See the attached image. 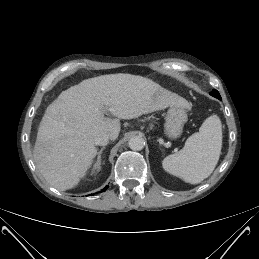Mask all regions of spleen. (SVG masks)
I'll return each mask as SVG.
<instances>
[{"instance_id":"obj_1","label":"spleen","mask_w":259,"mask_h":259,"mask_svg":"<svg viewBox=\"0 0 259 259\" xmlns=\"http://www.w3.org/2000/svg\"><path fill=\"white\" fill-rule=\"evenodd\" d=\"M221 148L222 124L217 115H212L203 122L199 132L186 140L179 152L164 158L162 166L185 182L198 184L212 174Z\"/></svg>"}]
</instances>
